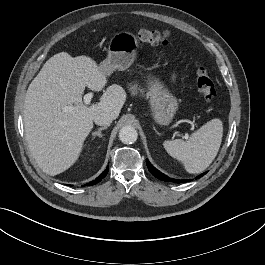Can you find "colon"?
<instances>
[{"label":"colon","mask_w":265,"mask_h":265,"mask_svg":"<svg viewBox=\"0 0 265 265\" xmlns=\"http://www.w3.org/2000/svg\"><path fill=\"white\" fill-rule=\"evenodd\" d=\"M137 38L148 44H166L169 41L170 34L167 31H158L151 29H140L136 31ZM196 84L206 103H212L218 96L217 88L211 78L209 69L198 63L196 67Z\"/></svg>","instance_id":"colon-1"}]
</instances>
